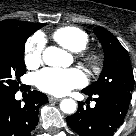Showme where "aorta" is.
<instances>
[{
    "label": "aorta",
    "instance_id": "762f6f07",
    "mask_svg": "<svg viewBox=\"0 0 136 136\" xmlns=\"http://www.w3.org/2000/svg\"><path fill=\"white\" fill-rule=\"evenodd\" d=\"M43 61L48 66H63L70 63V55L64 50L54 46L47 47L43 51ZM77 104L73 99H64L60 103V109L67 114H73L76 111Z\"/></svg>",
    "mask_w": 136,
    "mask_h": 136
}]
</instances>
